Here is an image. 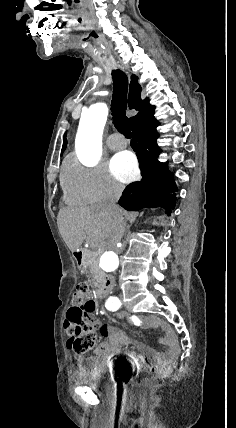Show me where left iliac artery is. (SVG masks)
Listing matches in <instances>:
<instances>
[{
    "label": "left iliac artery",
    "instance_id": "44dca946",
    "mask_svg": "<svg viewBox=\"0 0 236 428\" xmlns=\"http://www.w3.org/2000/svg\"><path fill=\"white\" fill-rule=\"evenodd\" d=\"M120 306L121 302L117 297H109L105 304V307L112 312L118 310Z\"/></svg>",
    "mask_w": 236,
    "mask_h": 428
}]
</instances>
